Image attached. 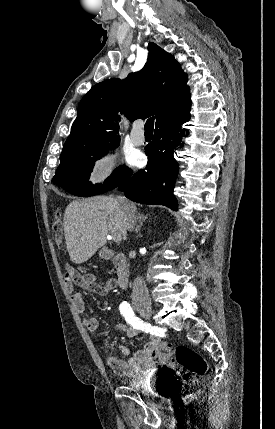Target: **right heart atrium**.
I'll return each instance as SVG.
<instances>
[{"label": "right heart atrium", "instance_id": "d8ad5b80", "mask_svg": "<svg viewBox=\"0 0 275 429\" xmlns=\"http://www.w3.org/2000/svg\"><path fill=\"white\" fill-rule=\"evenodd\" d=\"M116 169V154L104 148L91 156L89 161V178L94 184H102L112 178Z\"/></svg>", "mask_w": 275, "mask_h": 429}]
</instances>
